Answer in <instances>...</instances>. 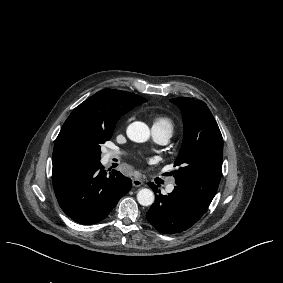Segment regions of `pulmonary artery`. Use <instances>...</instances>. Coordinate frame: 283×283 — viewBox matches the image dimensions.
Masks as SVG:
<instances>
[{
	"mask_svg": "<svg viewBox=\"0 0 283 283\" xmlns=\"http://www.w3.org/2000/svg\"><path fill=\"white\" fill-rule=\"evenodd\" d=\"M152 134H153L154 139L159 144H166L170 139V135L167 132L160 131L156 128H152ZM116 156H117V153L113 152V151H110L107 154V157L109 159H113ZM175 187H176L175 179L174 178L169 179L168 182H167L166 188H165L166 192H168V193L173 192Z\"/></svg>",
	"mask_w": 283,
	"mask_h": 283,
	"instance_id": "obj_1",
	"label": "pulmonary artery"
}]
</instances>
